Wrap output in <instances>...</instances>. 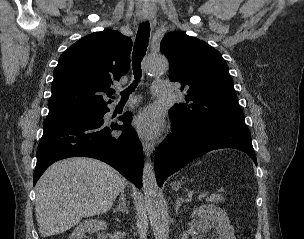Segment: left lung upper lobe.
<instances>
[{
    "instance_id": "5c2ea615",
    "label": "left lung upper lobe",
    "mask_w": 304,
    "mask_h": 239,
    "mask_svg": "<svg viewBox=\"0 0 304 239\" xmlns=\"http://www.w3.org/2000/svg\"><path fill=\"white\" fill-rule=\"evenodd\" d=\"M161 52L169 60V77L186 90L189 104H175L169 116L197 131L216 123L245 124L228 66L219 51L182 32L164 36Z\"/></svg>"
}]
</instances>
